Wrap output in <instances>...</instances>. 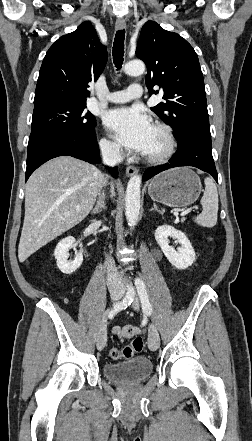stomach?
Listing matches in <instances>:
<instances>
[{"instance_id": "stomach-1", "label": "stomach", "mask_w": 252, "mask_h": 441, "mask_svg": "<svg viewBox=\"0 0 252 441\" xmlns=\"http://www.w3.org/2000/svg\"><path fill=\"white\" fill-rule=\"evenodd\" d=\"M202 191L199 177L187 167H178L154 177L148 193L152 200L175 208L193 204Z\"/></svg>"}]
</instances>
